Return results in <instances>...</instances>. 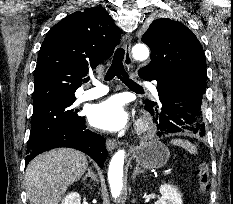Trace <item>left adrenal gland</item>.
Instances as JSON below:
<instances>
[{
    "mask_svg": "<svg viewBox=\"0 0 233 204\" xmlns=\"http://www.w3.org/2000/svg\"><path fill=\"white\" fill-rule=\"evenodd\" d=\"M140 173H143V171L138 166H136L132 175L133 180H135L136 176L139 175Z\"/></svg>",
    "mask_w": 233,
    "mask_h": 204,
    "instance_id": "1",
    "label": "left adrenal gland"
}]
</instances>
